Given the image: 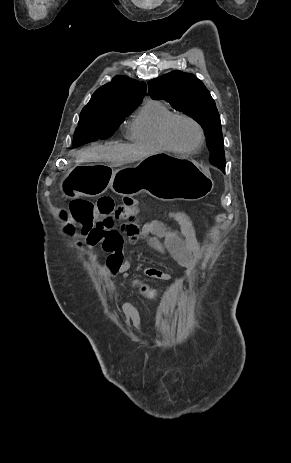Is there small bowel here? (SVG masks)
<instances>
[{
    "label": "small bowel",
    "instance_id": "small-bowel-1",
    "mask_svg": "<svg viewBox=\"0 0 291 463\" xmlns=\"http://www.w3.org/2000/svg\"><path fill=\"white\" fill-rule=\"evenodd\" d=\"M166 215L177 224L178 231L169 229L159 220L141 223L138 220V208L133 206L115 229H94L84 233L78 247L90 249L100 246L109 254L105 276L113 277L118 273L129 271L132 267L127 256L128 245L144 240L156 253L162 256L170 255L183 267L180 277H173L161 269L144 267L142 271L146 276L162 282H187L191 279L193 272L198 269L202 256L194 227L189 217L183 212H168ZM124 235L128 238L127 242L124 240ZM130 320L135 329L140 328L138 321L134 318Z\"/></svg>",
    "mask_w": 291,
    "mask_h": 463
}]
</instances>
